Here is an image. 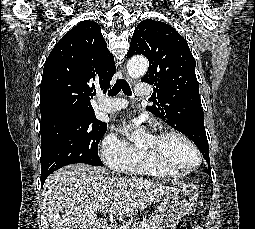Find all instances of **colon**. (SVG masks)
Wrapping results in <instances>:
<instances>
[{
  "label": "colon",
  "mask_w": 255,
  "mask_h": 229,
  "mask_svg": "<svg viewBox=\"0 0 255 229\" xmlns=\"http://www.w3.org/2000/svg\"><path fill=\"white\" fill-rule=\"evenodd\" d=\"M174 229H193V227L188 221L182 220L175 225Z\"/></svg>",
  "instance_id": "5ec220e1"
}]
</instances>
